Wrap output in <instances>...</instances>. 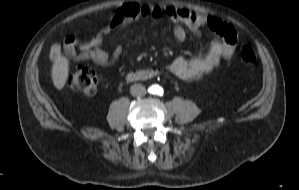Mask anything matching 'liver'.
<instances>
[{"label":"liver","instance_id":"1","mask_svg":"<svg viewBox=\"0 0 299 190\" xmlns=\"http://www.w3.org/2000/svg\"><path fill=\"white\" fill-rule=\"evenodd\" d=\"M69 74V61L66 57H58L52 68L54 86L61 90L65 86Z\"/></svg>","mask_w":299,"mask_h":190}]
</instances>
